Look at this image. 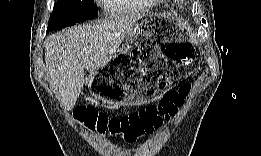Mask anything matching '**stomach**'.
<instances>
[{
	"label": "stomach",
	"mask_w": 261,
	"mask_h": 156,
	"mask_svg": "<svg viewBox=\"0 0 261 156\" xmlns=\"http://www.w3.org/2000/svg\"><path fill=\"white\" fill-rule=\"evenodd\" d=\"M148 42L157 43L148 61L133 67L125 60ZM110 60L101 71L91 73V94L109 105L136 106L160 99L187 77L198 64L199 53L187 26L174 16L157 15L141 17L126 36L124 47Z\"/></svg>",
	"instance_id": "0dacf381"
}]
</instances>
